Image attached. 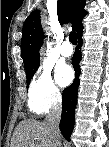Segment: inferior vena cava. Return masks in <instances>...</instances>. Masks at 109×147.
Masks as SVG:
<instances>
[{
  "label": "inferior vena cava",
  "instance_id": "inferior-vena-cava-1",
  "mask_svg": "<svg viewBox=\"0 0 109 147\" xmlns=\"http://www.w3.org/2000/svg\"><path fill=\"white\" fill-rule=\"evenodd\" d=\"M61 105L56 104L46 116L45 123L48 126L53 147H61L59 122L61 119Z\"/></svg>",
  "mask_w": 109,
  "mask_h": 147
}]
</instances>
